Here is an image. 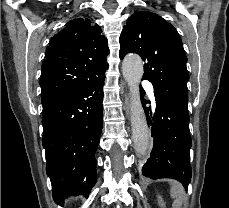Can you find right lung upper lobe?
Listing matches in <instances>:
<instances>
[{"label":"right lung upper lobe","mask_w":229,"mask_h":208,"mask_svg":"<svg viewBox=\"0 0 229 208\" xmlns=\"http://www.w3.org/2000/svg\"><path fill=\"white\" fill-rule=\"evenodd\" d=\"M46 49L40 86L43 107L105 73L109 54L101 28L87 18L70 20Z\"/></svg>","instance_id":"obj_1"}]
</instances>
